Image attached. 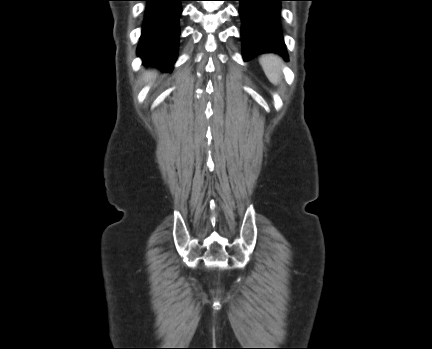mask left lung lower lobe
Wrapping results in <instances>:
<instances>
[{"label":"left lung lower lobe","mask_w":432,"mask_h":349,"mask_svg":"<svg viewBox=\"0 0 432 349\" xmlns=\"http://www.w3.org/2000/svg\"><path fill=\"white\" fill-rule=\"evenodd\" d=\"M242 18V47L245 61L253 56L274 52L286 61L288 55L280 24V2L283 0H238Z\"/></svg>","instance_id":"left-lung-lower-lobe-1"}]
</instances>
